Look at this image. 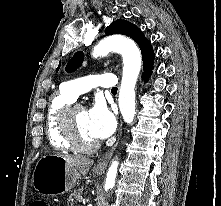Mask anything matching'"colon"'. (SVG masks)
Instances as JSON below:
<instances>
[{"mask_svg": "<svg viewBox=\"0 0 221 206\" xmlns=\"http://www.w3.org/2000/svg\"><path fill=\"white\" fill-rule=\"evenodd\" d=\"M29 206H49L45 201L42 200H34L30 203Z\"/></svg>", "mask_w": 221, "mask_h": 206, "instance_id": "1", "label": "colon"}]
</instances>
